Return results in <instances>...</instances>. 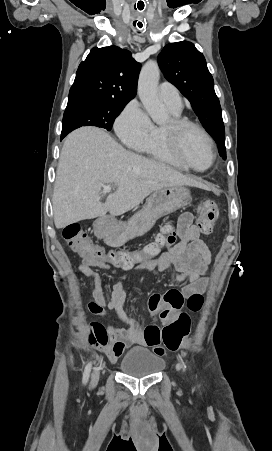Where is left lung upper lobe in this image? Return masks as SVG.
Instances as JSON below:
<instances>
[{"label":"left lung upper lobe","mask_w":272,"mask_h":451,"mask_svg":"<svg viewBox=\"0 0 272 451\" xmlns=\"http://www.w3.org/2000/svg\"><path fill=\"white\" fill-rule=\"evenodd\" d=\"M158 63L168 81L191 102L200 122L216 141L220 156L226 159L221 106L203 54L191 42L170 43L159 54Z\"/></svg>","instance_id":"obj_1"}]
</instances>
